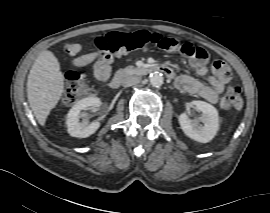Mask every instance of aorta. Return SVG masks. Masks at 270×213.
<instances>
[{
	"label": "aorta",
	"mask_w": 270,
	"mask_h": 213,
	"mask_svg": "<svg viewBox=\"0 0 270 213\" xmlns=\"http://www.w3.org/2000/svg\"><path fill=\"white\" fill-rule=\"evenodd\" d=\"M149 80L152 86L160 87L164 82L163 74L157 71L153 72L150 74Z\"/></svg>",
	"instance_id": "1"
}]
</instances>
